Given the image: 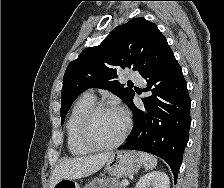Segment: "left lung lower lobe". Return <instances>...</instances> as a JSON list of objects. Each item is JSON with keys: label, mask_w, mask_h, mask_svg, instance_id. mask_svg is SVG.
<instances>
[{"label": "left lung lower lobe", "mask_w": 224, "mask_h": 188, "mask_svg": "<svg viewBox=\"0 0 224 188\" xmlns=\"http://www.w3.org/2000/svg\"><path fill=\"white\" fill-rule=\"evenodd\" d=\"M143 78L147 85L144 91L152 95L142 99L145 110L130 103L134 129L119 150H139L161 157L177 179L191 122V100L182 69L173 55Z\"/></svg>", "instance_id": "obj_1"}]
</instances>
